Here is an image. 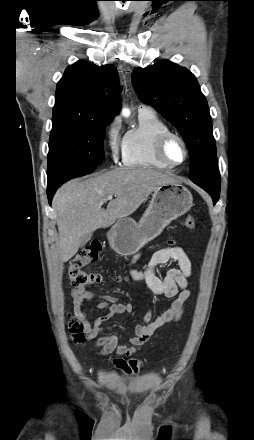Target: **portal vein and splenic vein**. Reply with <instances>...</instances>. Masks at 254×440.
I'll use <instances>...</instances> for the list:
<instances>
[{"label":"portal vein and splenic vein","instance_id":"1","mask_svg":"<svg viewBox=\"0 0 254 440\" xmlns=\"http://www.w3.org/2000/svg\"><path fill=\"white\" fill-rule=\"evenodd\" d=\"M113 198V195H108L105 200H111Z\"/></svg>","mask_w":254,"mask_h":440}]
</instances>
